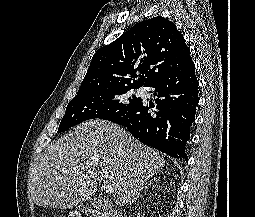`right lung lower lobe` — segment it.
<instances>
[{
  "label": "right lung lower lobe",
  "instance_id": "1",
  "mask_svg": "<svg viewBox=\"0 0 255 217\" xmlns=\"http://www.w3.org/2000/svg\"><path fill=\"white\" fill-rule=\"evenodd\" d=\"M155 89L156 106L140 102L130 112L111 122L125 126L139 141L174 158L187 160L185 145L198 104L195 65L188 60L176 70L149 84ZM153 109L154 113L148 112Z\"/></svg>",
  "mask_w": 255,
  "mask_h": 217
}]
</instances>
